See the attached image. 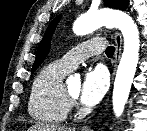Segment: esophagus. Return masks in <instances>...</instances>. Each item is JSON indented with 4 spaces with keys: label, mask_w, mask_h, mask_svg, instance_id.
<instances>
[{
    "label": "esophagus",
    "mask_w": 147,
    "mask_h": 131,
    "mask_svg": "<svg viewBox=\"0 0 147 131\" xmlns=\"http://www.w3.org/2000/svg\"><path fill=\"white\" fill-rule=\"evenodd\" d=\"M114 40H115L116 47H115L114 60H113L114 69H113L112 77L115 74V69L121 56L122 36L119 32L114 33ZM86 131H92V130H86Z\"/></svg>",
    "instance_id": "34e87169"
}]
</instances>
